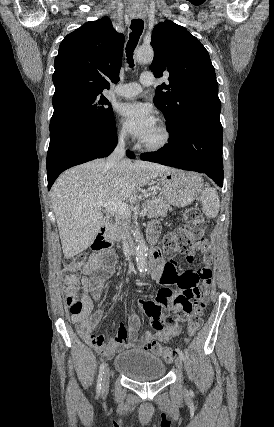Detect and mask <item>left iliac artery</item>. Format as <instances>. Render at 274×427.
<instances>
[{"instance_id": "left-iliac-artery-1", "label": "left iliac artery", "mask_w": 274, "mask_h": 427, "mask_svg": "<svg viewBox=\"0 0 274 427\" xmlns=\"http://www.w3.org/2000/svg\"><path fill=\"white\" fill-rule=\"evenodd\" d=\"M178 354H179V356H180V358L182 359V360H184L185 359V357H184V353H183V351L179 348L178 349ZM192 392V391H191Z\"/></svg>"}]
</instances>
